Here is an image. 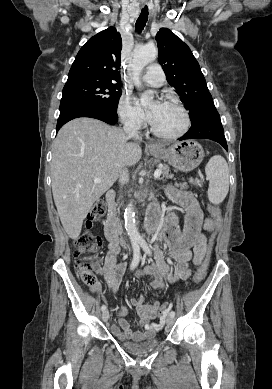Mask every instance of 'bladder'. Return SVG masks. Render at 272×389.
<instances>
[{
    "instance_id": "31cf9c89",
    "label": "bladder",
    "mask_w": 272,
    "mask_h": 389,
    "mask_svg": "<svg viewBox=\"0 0 272 389\" xmlns=\"http://www.w3.org/2000/svg\"><path fill=\"white\" fill-rule=\"evenodd\" d=\"M159 340L156 338L149 339L141 343H135L130 341H121L120 345L126 351L133 354H141L153 351L159 346Z\"/></svg>"
}]
</instances>
